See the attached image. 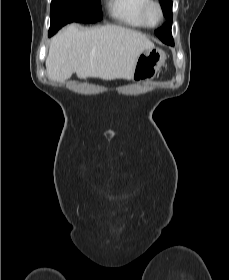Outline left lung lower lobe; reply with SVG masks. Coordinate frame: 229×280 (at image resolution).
<instances>
[{
	"label": "left lung lower lobe",
	"instance_id": "obj_1",
	"mask_svg": "<svg viewBox=\"0 0 229 280\" xmlns=\"http://www.w3.org/2000/svg\"><path fill=\"white\" fill-rule=\"evenodd\" d=\"M169 45H174V41L170 42V44H169Z\"/></svg>",
	"mask_w": 229,
	"mask_h": 280
}]
</instances>
